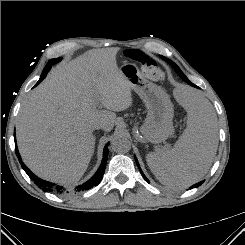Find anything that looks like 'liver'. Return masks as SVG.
Returning <instances> with one entry per match:
<instances>
[{
  "instance_id": "1",
  "label": "liver",
  "mask_w": 245,
  "mask_h": 245,
  "mask_svg": "<svg viewBox=\"0 0 245 245\" xmlns=\"http://www.w3.org/2000/svg\"><path fill=\"white\" fill-rule=\"evenodd\" d=\"M119 50L92 49L53 69L23 102L17 143L37 176L60 184L79 181L94 152V126L111 131L114 112L132 105L130 84L116 63Z\"/></svg>"
}]
</instances>
